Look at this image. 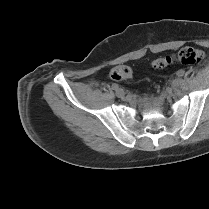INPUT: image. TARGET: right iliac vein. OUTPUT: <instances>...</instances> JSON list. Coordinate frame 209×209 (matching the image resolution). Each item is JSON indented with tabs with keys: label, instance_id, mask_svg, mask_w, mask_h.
I'll return each mask as SVG.
<instances>
[{
	"label": "right iliac vein",
	"instance_id": "right-iliac-vein-1",
	"mask_svg": "<svg viewBox=\"0 0 209 209\" xmlns=\"http://www.w3.org/2000/svg\"><path fill=\"white\" fill-rule=\"evenodd\" d=\"M116 96L119 98H123L125 96V92L123 89H117L116 90Z\"/></svg>",
	"mask_w": 209,
	"mask_h": 209
}]
</instances>
